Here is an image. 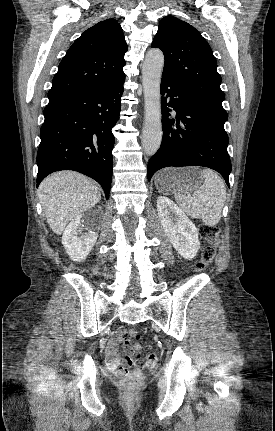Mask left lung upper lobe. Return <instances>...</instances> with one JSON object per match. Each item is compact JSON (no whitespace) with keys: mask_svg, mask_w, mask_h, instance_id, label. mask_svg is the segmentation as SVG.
<instances>
[{"mask_svg":"<svg viewBox=\"0 0 275 431\" xmlns=\"http://www.w3.org/2000/svg\"><path fill=\"white\" fill-rule=\"evenodd\" d=\"M152 47L165 57L162 75L172 80L205 107L227 115L222 107L225 98L220 89L221 76L207 41L197 29L173 16L160 21Z\"/></svg>","mask_w":275,"mask_h":431,"instance_id":"5c2ea615","label":"left lung upper lobe"}]
</instances>
